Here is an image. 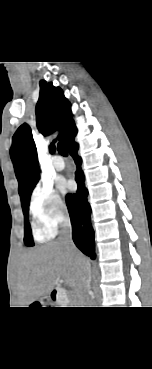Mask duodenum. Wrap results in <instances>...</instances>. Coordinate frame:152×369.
I'll list each match as a JSON object with an SVG mask.
<instances>
[{"instance_id":"1","label":"duodenum","mask_w":152,"mask_h":369,"mask_svg":"<svg viewBox=\"0 0 152 369\" xmlns=\"http://www.w3.org/2000/svg\"><path fill=\"white\" fill-rule=\"evenodd\" d=\"M58 297H59V296H58V294H57V295H56V298L58 299Z\"/></svg>"}]
</instances>
